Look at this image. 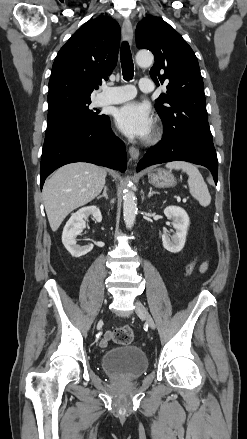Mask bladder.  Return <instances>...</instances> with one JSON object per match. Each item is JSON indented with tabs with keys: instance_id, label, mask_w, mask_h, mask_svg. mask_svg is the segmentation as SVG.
Listing matches in <instances>:
<instances>
[{
	"instance_id": "obj_1",
	"label": "bladder",
	"mask_w": 247,
	"mask_h": 439,
	"mask_svg": "<svg viewBox=\"0 0 247 439\" xmlns=\"http://www.w3.org/2000/svg\"><path fill=\"white\" fill-rule=\"evenodd\" d=\"M101 365L113 378L132 380L146 372L149 362L146 353L140 347L127 345L106 351L101 358Z\"/></svg>"
}]
</instances>
